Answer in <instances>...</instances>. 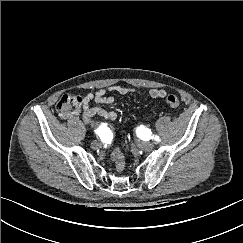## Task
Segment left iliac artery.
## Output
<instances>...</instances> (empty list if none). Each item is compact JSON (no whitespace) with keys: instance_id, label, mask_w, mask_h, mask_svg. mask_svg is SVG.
I'll return each instance as SVG.
<instances>
[{"instance_id":"1","label":"left iliac artery","mask_w":243,"mask_h":243,"mask_svg":"<svg viewBox=\"0 0 243 243\" xmlns=\"http://www.w3.org/2000/svg\"><path fill=\"white\" fill-rule=\"evenodd\" d=\"M153 139L156 141V142H159L160 141V138H159V136H153Z\"/></svg>"}]
</instances>
